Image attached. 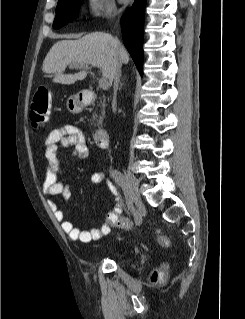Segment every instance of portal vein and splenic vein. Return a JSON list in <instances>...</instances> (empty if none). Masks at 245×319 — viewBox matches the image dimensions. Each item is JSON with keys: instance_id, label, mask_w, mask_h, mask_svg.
I'll use <instances>...</instances> for the list:
<instances>
[{"instance_id": "18ae733b", "label": "portal vein and splenic vein", "mask_w": 245, "mask_h": 319, "mask_svg": "<svg viewBox=\"0 0 245 319\" xmlns=\"http://www.w3.org/2000/svg\"><path fill=\"white\" fill-rule=\"evenodd\" d=\"M73 66L80 68V69H89L90 68L88 65H83V64H74ZM99 86L103 90L108 89L109 83L107 82L106 78L102 77L99 79Z\"/></svg>"}]
</instances>
